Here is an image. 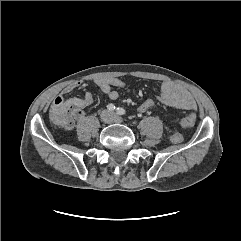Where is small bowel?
<instances>
[{"instance_id": "c3829d8e", "label": "small bowel", "mask_w": 241, "mask_h": 241, "mask_svg": "<svg viewBox=\"0 0 241 241\" xmlns=\"http://www.w3.org/2000/svg\"><path fill=\"white\" fill-rule=\"evenodd\" d=\"M96 86L106 94L111 100H116L119 93L113 87H123L125 82L118 78H97L94 80ZM80 83L75 82L68 84L63 89V94H69L78 88ZM158 99L174 109L178 110H196L197 104L188 90L172 81H162L160 84V94ZM94 102L92 93L87 92L81 98H71L67 103L73 107L74 119L80 120L84 116V108L90 106ZM72 126L68 127L70 129Z\"/></svg>"}]
</instances>
